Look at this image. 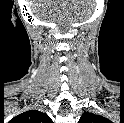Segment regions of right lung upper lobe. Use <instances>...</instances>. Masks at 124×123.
I'll return each instance as SVG.
<instances>
[{
	"label": "right lung upper lobe",
	"mask_w": 124,
	"mask_h": 123,
	"mask_svg": "<svg viewBox=\"0 0 124 123\" xmlns=\"http://www.w3.org/2000/svg\"><path fill=\"white\" fill-rule=\"evenodd\" d=\"M13 120L19 123H52L51 118L43 112L29 110L19 114Z\"/></svg>",
	"instance_id": "obj_1"
}]
</instances>
